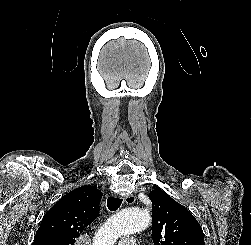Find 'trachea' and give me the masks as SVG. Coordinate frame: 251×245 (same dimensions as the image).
Returning <instances> with one entry per match:
<instances>
[{"label": "trachea", "instance_id": "3493384b", "mask_svg": "<svg viewBox=\"0 0 251 245\" xmlns=\"http://www.w3.org/2000/svg\"><path fill=\"white\" fill-rule=\"evenodd\" d=\"M122 203V199L116 197H108L107 207L110 211H116Z\"/></svg>", "mask_w": 251, "mask_h": 245}]
</instances>
